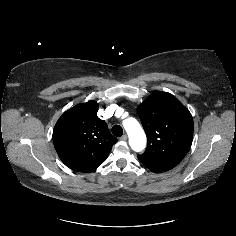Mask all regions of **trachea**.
<instances>
[{"mask_svg": "<svg viewBox=\"0 0 236 236\" xmlns=\"http://www.w3.org/2000/svg\"><path fill=\"white\" fill-rule=\"evenodd\" d=\"M112 133L116 137H121L122 134H123V129H122V127L120 125H114L112 127Z\"/></svg>", "mask_w": 236, "mask_h": 236, "instance_id": "3493384b", "label": "trachea"}]
</instances>
